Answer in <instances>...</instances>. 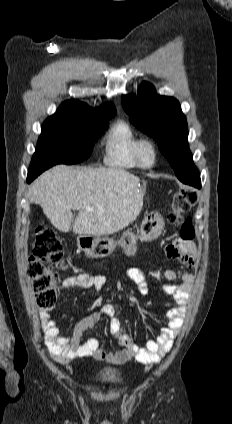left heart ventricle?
Masks as SVG:
<instances>
[{
  "label": "left heart ventricle",
  "mask_w": 232,
  "mask_h": 424,
  "mask_svg": "<svg viewBox=\"0 0 232 424\" xmlns=\"http://www.w3.org/2000/svg\"><path fill=\"white\" fill-rule=\"evenodd\" d=\"M142 159L145 163H149L151 160V151L148 147H144L142 150Z\"/></svg>",
  "instance_id": "b2bd125f"
}]
</instances>
